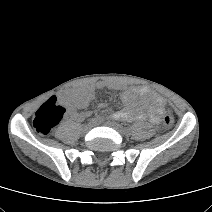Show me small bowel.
Wrapping results in <instances>:
<instances>
[{
  "instance_id": "c3829d8e",
  "label": "small bowel",
  "mask_w": 212,
  "mask_h": 212,
  "mask_svg": "<svg viewBox=\"0 0 212 212\" xmlns=\"http://www.w3.org/2000/svg\"><path fill=\"white\" fill-rule=\"evenodd\" d=\"M120 92V99L124 108L113 113L112 118L120 121H143L149 120L158 124L161 117L166 113V104L162 97L147 88H124L116 83L99 81L95 84L79 86L62 94L61 100L66 105V118L80 121L91 115V112L83 111L93 100L98 92L105 89ZM147 98H150L154 107H149ZM101 106H104L103 104Z\"/></svg>"
}]
</instances>
